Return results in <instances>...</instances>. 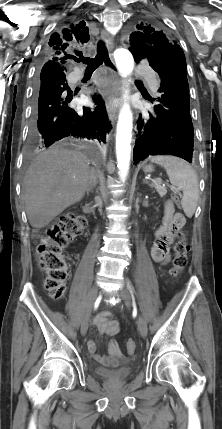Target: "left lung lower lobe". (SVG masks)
Returning <instances> with one entry per match:
<instances>
[{
	"label": "left lung lower lobe",
	"instance_id": "obj_1",
	"mask_svg": "<svg viewBox=\"0 0 222 429\" xmlns=\"http://www.w3.org/2000/svg\"><path fill=\"white\" fill-rule=\"evenodd\" d=\"M141 59H136L139 63ZM153 69L159 74L158 105L148 117L139 116L134 164L149 155L170 154L191 163L194 129L190 115L187 70L176 56L160 55Z\"/></svg>",
	"mask_w": 222,
	"mask_h": 429
}]
</instances>
